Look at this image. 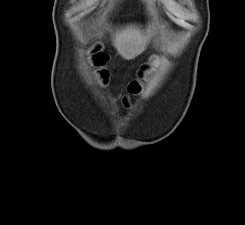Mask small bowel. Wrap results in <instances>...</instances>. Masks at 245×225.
I'll return each mask as SVG.
<instances>
[{
    "label": "small bowel",
    "instance_id": "obj_1",
    "mask_svg": "<svg viewBox=\"0 0 245 225\" xmlns=\"http://www.w3.org/2000/svg\"><path fill=\"white\" fill-rule=\"evenodd\" d=\"M102 60H103V62H108V60H109V58H108V56H102Z\"/></svg>",
    "mask_w": 245,
    "mask_h": 225
}]
</instances>
